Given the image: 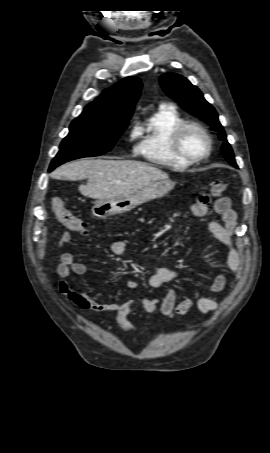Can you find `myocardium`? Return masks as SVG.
<instances>
[{
	"mask_svg": "<svg viewBox=\"0 0 270 453\" xmlns=\"http://www.w3.org/2000/svg\"><path fill=\"white\" fill-rule=\"evenodd\" d=\"M189 129H196L198 130L207 140V149L206 152L200 156L194 157L190 156L184 152L182 148V137L183 134ZM171 147L173 152L176 156H178L183 161L188 163L194 164L199 163L205 159H207L212 153L213 142L211 135L209 134L208 130L198 122H183L176 129L173 131L171 135Z\"/></svg>",
	"mask_w": 270,
	"mask_h": 453,
	"instance_id": "f54148a6",
	"label": "myocardium"
}]
</instances>
